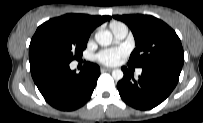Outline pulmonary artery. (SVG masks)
Masks as SVG:
<instances>
[{
  "mask_svg": "<svg viewBox=\"0 0 203 123\" xmlns=\"http://www.w3.org/2000/svg\"><path fill=\"white\" fill-rule=\"evenodd\" d=\"M112 33L116 40H123L128 34V28L125 24L117 22L111 25ZM141 69L137 70V74L140 75Z\"/></svg>",
  "mask_w": 203,
  "mask_h": 123,
  "instance_id": "pulmonary-artery-1",
  "label": "pulmonary artery"
}]
</instances>
